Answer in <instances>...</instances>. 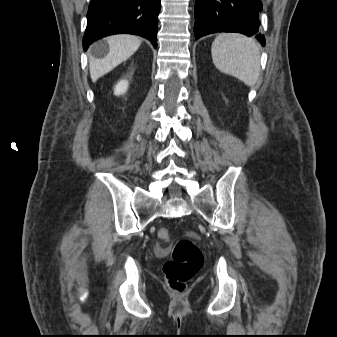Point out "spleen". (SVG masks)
<instances>
[{
  "label": "spleen",
  "instance_id": "obj_1",
  "mask_svg": "<svg viewBox=\"0 0 337 337\" xmlns=\"http://www.w3.org/2000/svg\"><path fill=\"white\" fill-rule=\"evenodd\" d=\"M216 68L247 86H253L260 74V51L256 42L238 33H221L212 43Z\"/></svg>",
  "mask_w": 337,
  "mask_h": 337
}]
</instances>
